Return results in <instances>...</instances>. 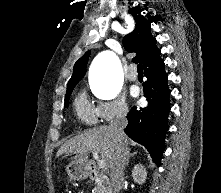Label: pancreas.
<instances>
[{
  "instance_id": "pancreas-1",
  "label": "pancreas",
  "mask_w": 221,
  "mask_h": 193,
  "mask_svg": "<svg viewBox=\"0 0 221 193\" xmlns=\"http://www.w3.org/2000/svg\"><path fill=\"white\" fill-rule=\"evenodd\" d=\"M93 193H106V188L101 181L97 183Z\"/></svg>"
}]
</instances>
